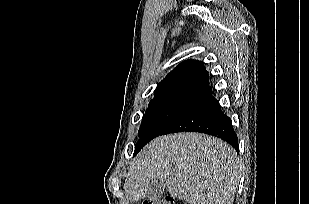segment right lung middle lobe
Returning a JSON list of instances; mask_svg holds the SVG:
<instances>
[{"label": "right lung middle lobe", "mask_w": 309, "mask_h": 204, "mask_svg": "<svg viewBox=\"0 0 309 204\" xmlns=\"http://www.w3.org/2000/svg\"><path fill=\"white\" fill-rule=\"evenodd\" d=\"M194 103L160 102L150 103L139 129V141L135 145L136 155L149 141L159 136L169 125L194 108Z\"/></svg>", "instance_id": "obj_1"}]
</instances>
